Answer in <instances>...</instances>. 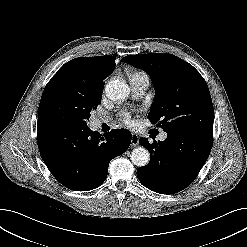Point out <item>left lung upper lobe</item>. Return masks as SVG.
<instances>
[{"label":"left lung upper lobe","instance_id":"left-lung-upper-lobe-1","mask_svg":"<svg viewBox=\"0 0 247 247\" xmlns=\"http://www.w3.org/2000/svg\"><path fill=\"white\" fill-rule=\"evenodd\" d=\"M127 62L146 71L156 89L148 118L166 133L213 136L214 110L208 86L189 63L172 54L128 55Z\"/></svg>","mask_w":247,"mask_h":247}]
</instances>
